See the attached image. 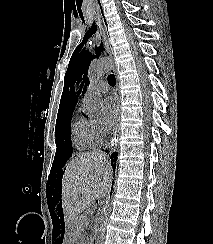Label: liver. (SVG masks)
Listing matches in <instances>:
<instances>
[{"instance_id": "1", "label": "liver", "mask_w": 213, "mask_h": 244, "mask_svg": "<svg viewBox=\"0 0 213 244\" xmlns=\"http://www.w3.org/2000/svg\"><path fill=\"white\" fill-rule=\"evenodd\" d=\"M111 167L101 151L83 153L66 167L62 179V208L70 231L76 228L74 220L93 200L108 193Z\"/></svg>"}]
</instances>
